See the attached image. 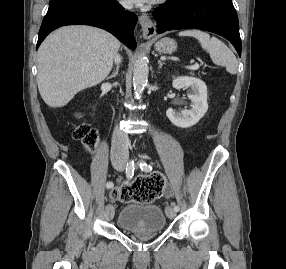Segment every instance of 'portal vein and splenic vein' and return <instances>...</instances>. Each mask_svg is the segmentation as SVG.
<instances>
[{"instance_id": "18ae733b", "label": "portal vein and splenic vein", "mask_w": 286, "mask_h": 269, "mask_svg": "<svg viewBox=\"0 0 286 269\" xmlns=\"http://www.w3.org/2000/svg\"><path fill=\"white\" fill-rule=\"evenodd\" d=\"M187 68L190 69V70H197V69H199V64L195 63L194 65H191V66H189Z\"/></svg>"}]
</instances>
